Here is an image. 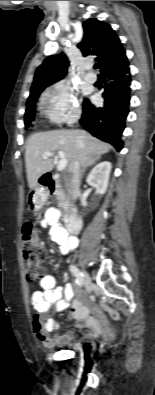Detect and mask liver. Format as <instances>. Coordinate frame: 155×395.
Returning <instances> with one entry per match:
<instances>
[{
  "mask_svg": "<svg viewBox=\"0 0 155 395\" xmlns=\"http://www.w3.org/2000/svg\"><path fill=\"white\" fill-rule=\"evenodd\" d=\"M111 145L84 130H56L30 136L25 151L27 180L30 189L37 186L39 178L54 167V157L43 159L46 152L63 151L72 171L74 162L82 166L93 157L108 153Z\"/></svg>",
  "mask_w": 155,
  "mask_h": 395,
  "instance_id": "1",
  "label": "liver"
}]
</instances>
